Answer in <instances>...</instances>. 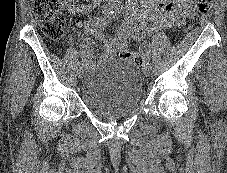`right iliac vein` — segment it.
Masks as SVG:
<instances>
[{
	"label": "right iliac vein",
	"mask_w": 227,
	"mask_h": 173,
	"mask_svg": "<svg viewBox=\"0 0 227 173\" xmlns=\"http://www.w3.org/2000/svg\"><path fill=\"white\" fill-rule=\"evenodd\" d=\"M85 71V67L84 66H80L79 70H78V77L81 78L83 76V73Z\"/></svg>",
	"instance_id": "obj_1"
}]
</instances>
